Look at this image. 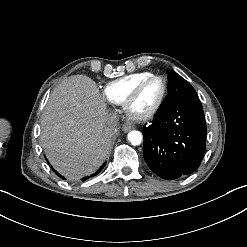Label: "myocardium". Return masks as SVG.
<instances>
[{"label":"myocardium","instance_id":"obj_1","mask_svg":"<svg viewBox=\"0 0 247 247\" xmlns=\"http://www.w3.org/2000/svg\"><path fill=\"white\" fill-rule=\"evenodd\" d=\"M154 79L161 81L162 85H163V92H162L160 100L151 110H149L145 113H142V114H132L130 109H131L132 104L137 99L140 89L142 88V86L146 82H148L149 80H154ZM167 94H168V83H167L166 79L161 75L152 74V75H149V76L141 79L138 83H136L133 86L130 93L125 97V99L121 103L122 108L133 119H135L137 121H148V120L154 118L159 113V111L161 110V108L163 107V105L166 101Z\"/></svg>","mask_w":247,"mask_h":247}]
</instances>
